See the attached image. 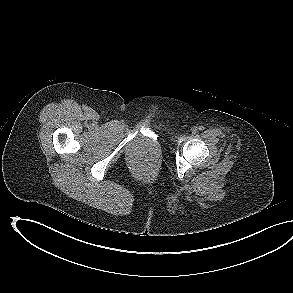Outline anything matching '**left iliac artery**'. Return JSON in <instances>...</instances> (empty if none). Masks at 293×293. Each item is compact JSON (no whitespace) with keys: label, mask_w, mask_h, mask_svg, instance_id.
<instances>
[{"label":"left iliac artery","mask_w":293,"mask_h":293,"mask_svg":"<svg viewBox=\"0 0 293 293\" xmlns=\"http://www.w3.org/2000/svg\"><path fill=\"white\" fill-rule=\"evenodd\" d=\"M199 130L200 131L204 130V126H199Z\"/></svg>","instance_id":"left-iliac-artery-1"}]
</instances>
